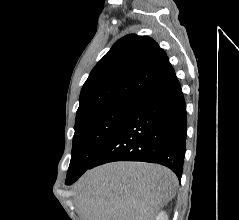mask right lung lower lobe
Returning <instances> with one entry per match:
<instances>
[{"label": "right lung lower lobe", "mask_w": 239, "mask_h": 220, "mask_svg": "<svg viewBox=\"0 0 239 220\" xmlns=\"http://www.w3.org/2000/svg\"><path fill=\"white\" fill-rule=\"evenodd\" d=\"M186 129L185 100L176 74L172 73L130 105L90 168L112 161H144L162 164L180 179Z\"/></svg>", "instance_id": "right-lung-lower-lobe-1"}]
</instances>
